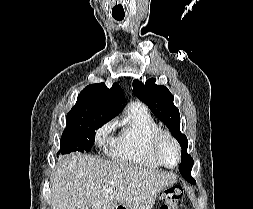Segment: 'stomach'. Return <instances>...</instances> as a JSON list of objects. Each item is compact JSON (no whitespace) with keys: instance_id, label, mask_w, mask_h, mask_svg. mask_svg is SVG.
Here are the masks:
<instances>
[{"instance_id":"1","label":"stomach","mask_w":253,"mask_h":209,"mask_svg":"<svg viewBox=\"0 0 253 209\" xmlns=\"http://www.w3.org/2000/svg\"><path fill=\"white\" fill-rule=\"evenodd\" d=\"M168 189L169 188H163L162 189V194H161V199L165 200V202L168 204L169 199H168ZM127 207H130V202H121V204H118L115 209H128Z\"/></svg>"}]
</instances>
